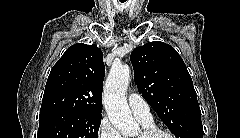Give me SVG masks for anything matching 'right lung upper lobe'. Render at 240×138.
<instances>
[{
  "label": "right lung upper lobe",
  "mask_w": 240,
  "mask_h": 138,
  "mask_svg": "<svg viewBox=\"0 0 240 138\" xmlns=\"http://www.w3.org/2000/svg\"><path fill=\"white\" fill-rule=\"evenodd\" d=\"M104 75L101 49L95 44L70 46L49 74L40 115L58 111L102 115Z\"/></svg>",
  "instance_id": "obj_1"
}]
</instances>
